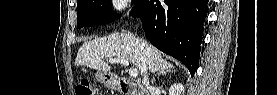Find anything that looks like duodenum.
<instances>
[{
  "label": "duodenum",
  "mask_w": 277,
  "mask_h": 95,
  "mask_svg": "<svg viewBox=\"0 0 277 95\" xmlns=\"http://www.w3.org/2000/svg\"><path fill=\"white\" fill-rule=\"evenodd\" d=\"M113 81V78H110ZM113 87L118 88L120 93L122 94H130V95H143L144 89L142 84L131 82L125 79H117L113 84Z\"/></svg>",
  "instance_id": "duodenum-1"
}]
</instances>
